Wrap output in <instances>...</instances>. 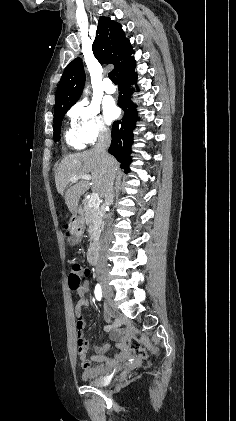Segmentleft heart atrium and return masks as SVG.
<instances>
[{"instance_id": "obj_1", "label": "left heart atrium", "mask_w": 236, "mask_h": 421, "mask_svg": "<svg viewBox=\"0 0 236 421\" xmlns=\"http://www.w3.org/2000/svg\"><path fill=\"white\" fill-rule=\"evenodd\" d=\"M104 111L108 117L109 120H114L118 118L120 111L118 107L116 106L114 100L108 99L104 103Z\"/></svg>"}]
</instances>
